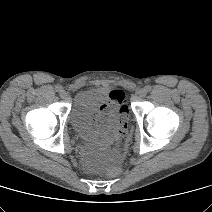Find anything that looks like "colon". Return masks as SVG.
Masks as SVG:
<instances>
[{"instance_id":"colon-1","label":"colon","mask_w":212,"mask_h":212,"mask_svg":"<svg viewBox=\"0 0 212 212\" xmlns=\"http://www.w3.org/2000/svg\"><path fill=\"white\" fill-rule=\"evenodd\" d=\"M121 108H122V109L126 108V105L123 103ZM109 174H110V176H112V177H117V176H119V174H120V168H119L118 166L112 167V168L110 169V171H109Z\"/></svg>"}]
</instances>
